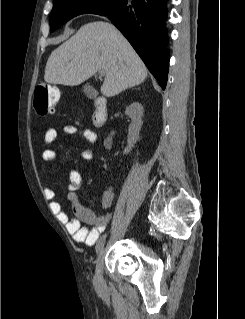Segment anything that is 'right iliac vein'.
I'll return each instance as SVG.
<instances>
[{
    "mask_svg": "<svg viewBox=\"0 0 245 319\" xmlns=\"http://www.w3.org/2000/svg\"><path fill=\"white\" fill-rule=\"evenodd\" d=\"M106 240V235L100 237L97 242V245H101V251L97 260L96 264V281L101 284L103 280V266H104V256H105V249L104 244Z\"/></svg>",
    "mask_w": 245,
    "mask_h": 319,
    "instance_id": "1",
    "label": "right iliac vein"
}]
</instances>
